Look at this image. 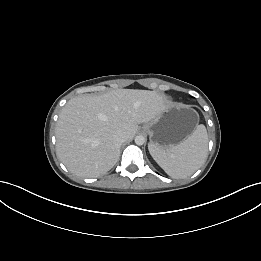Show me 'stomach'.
Returning <instances> with one entry per match:
<instances>
[{
	"instance_id": "0dacf381",
	"label": "stomach",
	"mask_w": 261,
	"mask_h": 261,
	"mask_svg": "<svg viewBox=\"0 0 261 261\" xmlns=\"http://www.w3.org/2000/svg\"><path fill=\"white\" fill-rule=\"evenodd\" d=\"M199 123L198 113L185 105L170 104L153 120L143 126L151 144L170 149L187 139Z\"/></svg>"
}]
</instances>
